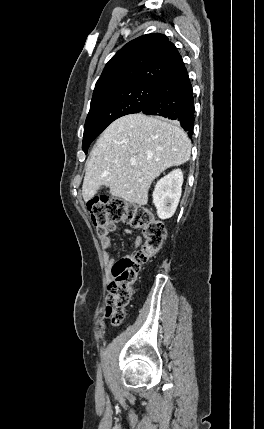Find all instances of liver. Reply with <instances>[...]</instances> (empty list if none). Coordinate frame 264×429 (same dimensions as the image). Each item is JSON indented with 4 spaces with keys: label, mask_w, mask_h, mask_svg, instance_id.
I'll return each instance as SVG.
<instances>
[{
    "label": "liver",
    "mask_w": 264,
    "mask_h": 429,
    "mask_svg": "<svg viewBox=\"0 0 264 429\" xmlns=\"http://www.w3.org/2000/svg\"><path fill=\"white\" fill-rule=\"evenodd\" d=\"M190 155L191 141L178 122L142 113L120 117L105 129L87 161L83 199L88 202L105 186L112 196L146 205L153 180Z\"/></svg>",
    "instance_id": "obj_1"
}]
</instances>
